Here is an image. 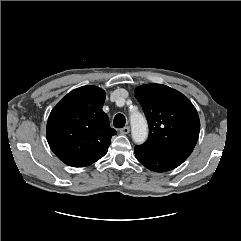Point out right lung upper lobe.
Listing matches in <instances>:
<instances>
[{"mask_svg": "<svg viewBox=\"0 0 241 241\" xmlns=\"http://www.w3.org/2000/svg\"><path fill=\"white\" fill-rule=\"evenodd\" d=\"M105 91L83 86L68 93L51 111L47 140L65 164L85 167L103 157L116 131L102 107Z\"/></svg>", "mask_w": 241, "mask_h": 241, "instance_id": "1", "label": "right lung upper lobe"}]
</instances>
